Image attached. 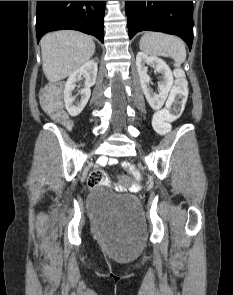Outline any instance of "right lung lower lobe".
I'll list each match as a JSON object with an SVG mask.
<instances>
[{
    "label": "right lung lower lobe",
    "instance_id": "98d812e1",
    "mask_svg": "<svg viewBox=\"0 0 233 295\" xmlns=\"http://www.w3.org/2000/svg\"><path fill=\"white\" fill-rule=\"evenodd\" d=\"M105 1H37V41L50 31L74 29L104 41Z\"/></svg>",
    "mask_w": 233,
    "mask_h": 295
}]
</instances>
